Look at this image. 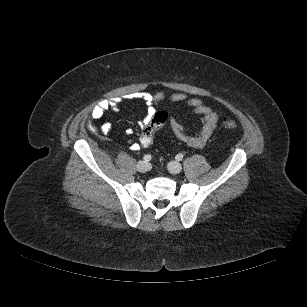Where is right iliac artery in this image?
Returning a JSON list of instances; mask_svg holds the SVG:
<instances>
[{"label":"right iliac artery","instance_id":"obj_1","mask_svg":"<svg viewBox=\"0 0 307 307\" xmlns=\"http://www.w3.org/2000/svg\"><path fill=\"white\" fill-rule=\"evenodd\" d=\"M143 159H144L146 162H149V161L152 159V157H151L150 154H146V155H144Z\"/></svg>","mask_w":307,"mask_h":307}]
</instances>
